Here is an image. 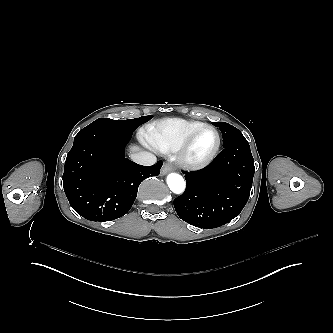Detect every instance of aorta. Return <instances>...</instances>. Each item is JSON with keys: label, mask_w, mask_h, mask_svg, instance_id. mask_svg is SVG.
I'll use <instances>...</instances> for the list:
<instances>
[{"label": "aorta", "mask_w": 333, "mask_h": 333, "mask_svg": "<svg viewBox=\"0 0 333 333\" xmlns=\"http://www.w3.org/2000/svg\"><path fill=\"white\" fill-rule=\"evenodd\" d=\"M169 189L175 194H181L184 192L186 183L184 178L177 173H170L166 179Z\"/></svg>", "instance_id": "obj_1"}]
</instances>
